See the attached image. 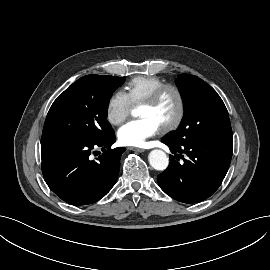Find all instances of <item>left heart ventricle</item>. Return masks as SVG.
Segmentation results:
<instances>
[{"label":"left heart ventricle","instance_id":"b2bd125f","mask_svg":"<svg viewBox=\"0 0 270 270\" xmlns=\"http://www.w3.org/2000/svg\"><path fill=\"white\" fill-rule=\"evenodd\" d=\"M176 112L177 97L171 90L166 91L156 104H142L140 107V116L152 118L160 127L170 123Z\"/></svg>","mask_w":270,"mask_h":270}]
</instances>
